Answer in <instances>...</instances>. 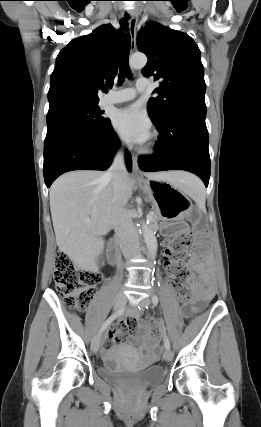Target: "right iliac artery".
<instances>
[{
  "instance_id": "right-iliac-artery-1",
  "label": "right iliac artery",
  "mask_w": 261,
  "mask_h": 427,
  "mask_svg": "<svg viewBox=\"0 0 261 427\" xmlns=\"http://www.w3.org/2000/svg\"><path fill=\"white\" fill-rule=\"evenodd\" d=\"M124 312V309L121 308L119 309L117 312H115L114 314H112L101 326L100 328V334L122 313Z\"/></svg>"
}]
</instances>
